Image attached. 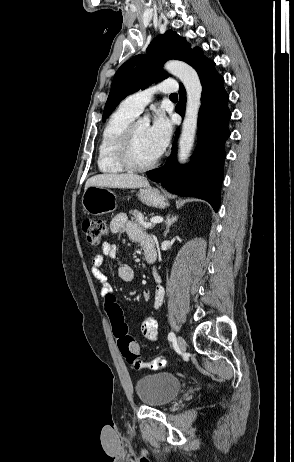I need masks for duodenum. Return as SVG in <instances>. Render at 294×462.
Returning <instances> with one entry per match:
<instances>
[{
	"label": "duodenum",
	"mask_w": 294,
	"mask_h": 462,
	"mask_svg": "<svg viewBox=\"0 0 294 462\" xmlns=\"http://www.w3.org/2000/svg\"><path fill=\"white\" fill-rule=\"evenodd\" d=\"M144 255L149 263H153L156 260V250L153 244L145 243L143 245Z\"/></svg>",
	"instance_id": "410a0bca"
}]
</instances>
